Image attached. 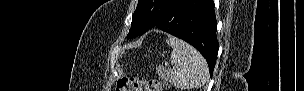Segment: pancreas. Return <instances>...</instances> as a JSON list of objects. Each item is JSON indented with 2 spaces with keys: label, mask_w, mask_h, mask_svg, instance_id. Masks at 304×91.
<instances>
[{
  "label": "pancreas",
  "mask_w": 304,
  "mask_h": 91,
  "mask_svg": "<svg viewBox=\"0 0 304 91\" xmlns=\"http://www.w3.org/2000/svg\"><path fill=\"white\" fill-rule=\"evenodd\" d=\"M159 74L164 79V82L166 83L167 78H166L165 70L163 68L159 70Z\"/></svg>",
  "instance_id": "cf45deb5"
}]
</instances>
